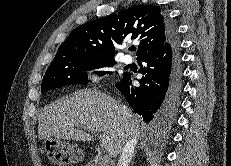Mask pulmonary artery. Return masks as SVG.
<instances>
[{"label": "pulmonary artery", "mask_w": 231, "mask_h": 166, "mask_svg": "<svg viewBox=\"0 0 231 166\" xmlns=\"http://www.w3.org/2000/svg\"><path fill=\"white\" fill-rule=\"evenodd\" d=\"M123 62L125 63V64H130V63H132V61H133V59H132V57L130 56V55H125V56H123Z\"/></svg>", "instance_id": "pulmonary-artery-1"}]
</instances>
